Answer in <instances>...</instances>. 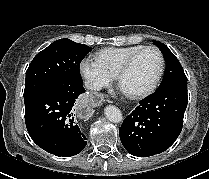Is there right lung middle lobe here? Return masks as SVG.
I'll return each instance as SVG.
<instances>
[{
    "instance_id": "right-lung-middle-lobe-1",
    "label": "right lung middle lobe",
    "mask_w": 209,
    "mask_h": 179,
    "mask_svg": "<svg viewBox=\"0 0 209 179\" xmlns=\"http://www.w3.org/2000/svg\"><path fill=\"white\" fill-rule=\"evenodd\" d=\"M90 51L87 45L59 39L39 52L26 71L25 105L54 85L82 83L80 63Z\"/></svg>"
}]
</instances>
